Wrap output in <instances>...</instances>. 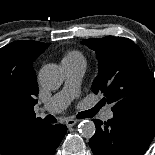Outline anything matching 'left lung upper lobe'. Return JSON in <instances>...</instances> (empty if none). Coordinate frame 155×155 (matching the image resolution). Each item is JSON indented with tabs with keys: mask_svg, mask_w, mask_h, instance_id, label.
Here are the masks:
<instances>
[{
	"mask_svg": "<svg viewBox=\"0 0 155 155\" xmlns=\"http://www.w3.org/2000/svg\"><path fill=\"white\" fill-rule=\"evenodd\" d=\"M84 44L96 51L99 60L93 91L104 94L113 112L155 108V80L139 46L128 38L112 36L90 38Z\"/></svg>",
	"mask_w": 155,
	"mask_h": 155,
	"instance_id": "left-lung-upper-lobe-1",
	"label": "left lung upper lobe"
}]
</instances>
